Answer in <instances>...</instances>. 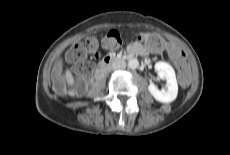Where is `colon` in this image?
<instances>
[{"instance_id":"colon-1","label":"colon","mask_w":230,"mask_h":155,"mask_svg":"<svg viewBox=\"0 0 230 155\" xmlns=\"http://www.w3.org/2000/svg\"><path fill=\"white\" fill-rule=\"evenodd\" d=\"M141 40L146 45L153 47H167L170 57L179 67V78L177 82V89L183 91L190 85L192 80V69L190 65V57L188 54L183 53L181 49L176 46L167 45L165 40L155 34H143ZM122 39L117 31H109L102 39V45L106 49L114 50L121 46ZM97 41L95 38L89 37L83 41L74 44L66 52V59L74 64V71L80 78H89L93 71V63L87 60L89 53H94L97 50ZM54 85L58 92H65L66 85L64 79L59 74H54Z\"/></svg>"}]
</instances>
